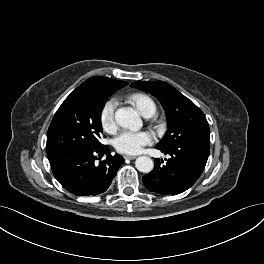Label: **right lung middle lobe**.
Returning <instances> with one entry per match:
<instances>
[{"instance_id": "1", "label": "right lung middle lobe", "mask_w": 264, "mask_h": 264, "mask_svg": "<svg viewBox=\"0 0 264 264\" xmlns=\"http://www.w3.org/2000/svg\"><path fill=\"white\" fill-rule=\"evenodd\" d=\"M109 94L74 90L54 115L47 133L48 158L73 148L99 149L101 111Z\"/></svg>"}]
</instances>
